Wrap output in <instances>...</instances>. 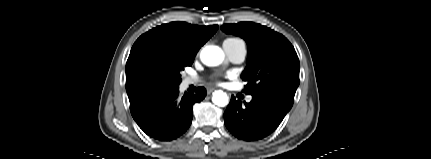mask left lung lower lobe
Masks as SVG:
<instances>
[{
    "label": "left lung lower lobe",
    "instance_id": "0a47b994",
    "mask_svg": "<svg viewBox=\"0 0 431 159\" xmlns=\"http://www.w3.org/2000/svg\"><path fill=\"white\" fill-rule=\"evenodd\" d=\"M292 105L272 95H252L251 102L244 104L232 96L224 113V122L238 139L260 140L279 126Z\"/></svg>",
    "mask_w": 431,
    "mask_h": 159
}]
</instances>
